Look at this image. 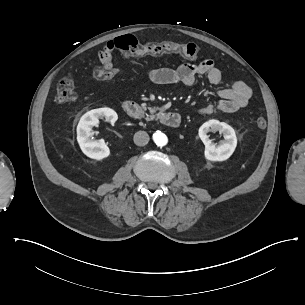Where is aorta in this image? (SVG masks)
I'll use <instances>...</instances> for the list:
<instances>
[{
    "instance_id": "aorta-1",
    "label": "aorta",
    "mask_w": 305,
    "mask_h": 305,
    "mask_svg": "<svg viewBox=\"0 0 305 305\" xmlns=\"http://www.w3.org/2000/svg\"><path fill=\"white\" fill-rule=\"evenodd\" d=\"M153 140L158 146H165L168 142L167 136L160 131L153 134Z\"/></svg>"
}]
</instances>
